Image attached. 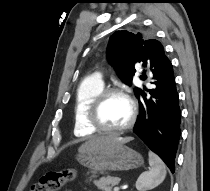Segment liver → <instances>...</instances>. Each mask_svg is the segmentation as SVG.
<instances>
[{"mask_svg": "<svg viewBox=\"0 0 210 191\" xmlns=\"http://www.w3.org/2000/svg\"><path fill=\"white\" fill-rule=\"evenodd\" d=\"M133 140L132 137H120L116 134H109L105 136H97L89 139L81 145L79 151L94 150L115 144H124Z\"/></svg>", "mask_w": 210, "mask_h": 191, "instance_id": "liver-1", "label": "liver"}]
</instances>
